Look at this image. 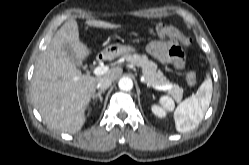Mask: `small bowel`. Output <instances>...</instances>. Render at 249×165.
Wrapping results in <instances>:
<instances>
[{
  "label": "small bowel",
  "mask_w": 249,
  "mask_h": 165,
  "mask_svg": "<svg viewBox=\"0 0 249 165\" xmlns=\"http://www.w3.org/2000/svg\"><path fill=\"white\" fill-rule=\"evenodd\" d=\"M147 51L163 65H172L176 69L185 65L184 55L174 40L153 41L147 46Z\"/></svg>",
  "instance_id": "obj_1"
}]
</instances>
